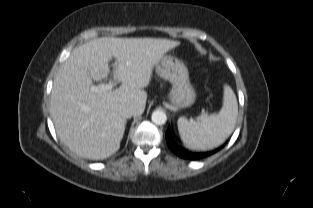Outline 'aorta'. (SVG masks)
<instances>
[{"label": "aorta", "instance_id": "aorta-1", "mask_svg": "<svg viewBox=\"0 0 313 208\" xmlns=\"http://www.w3.org/2000/svg\"><path fill=\"white\" fill-rule=\"evenodd\" d=\"M151 119L156 125H163L167 121V116L164 111L156 110L152 113Z\"/></svg>", "mask_w": 313, "mask_h": 208}]
</instances>
